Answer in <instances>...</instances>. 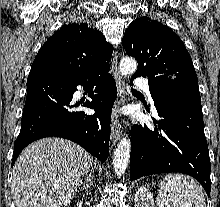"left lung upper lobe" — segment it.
<instances>
[{"label":"left lung upper lobe","instance_id":"1","mask_svg":"<svg viewBox=\"0 0 220 207\" xmlns=\"http://www.w3.org/2000/svg\"><path fill=\"white\" fill-rule=\"evenodd\" d=\"M122 46L138 61L134 77H148L150 92L165 85H198L197 75L182 40L166 25L141 17L125 31Z\"/></svg>","mask_w":220,"mask_h":207}]
</instances>
